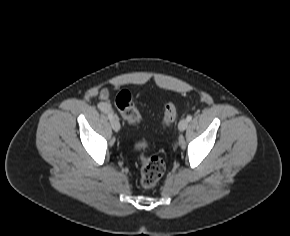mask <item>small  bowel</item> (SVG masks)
I'll use <instances>...</instances> for the list:
<instances>
[{"label": "small bowel", "mask_w": 290, "mask_h": 236, "mask_svg": "<svg viewBox=\"0 0 290 236\" xmlns=\"http://www.w3.org/2000/svg\"><path fill=\"white\" fill-rule=\"evenodd\" d=\"M100 106L101 109L103 110H109V104H108V100H109V91L107 89H103L100 92Z\"/></svg>", "instance_id": "small-bowel-1"}]
</instances>
